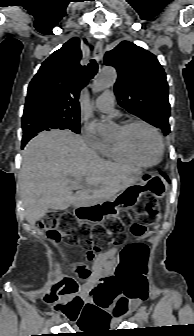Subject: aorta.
<instances>
[{
  "label": "aorta",
  "mask_w": 194,
  "mask_h": 336,
  "mask_svg": "<svg viewBox=\"0 0 194 336\" xmlns=\"http://www.w3.org/2000/svg\"><path fill=\"white\" fill-rule=\"evenodd\" d=\"M116 77V70L113 67H103L93 83V92L97 93L113 86L116 81ZM90 125L96 130L98 135L105 140L111 139L114 134L113 127L104 121L93 120Z\"/></svg>",
  "instance_id": "obj_1"
}]
</instances>
